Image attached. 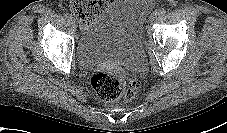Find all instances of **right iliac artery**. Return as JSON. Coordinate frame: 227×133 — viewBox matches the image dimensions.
Masks as SVG:
<instances>
[{
    "label": "right iliac artery",
    "mask_w": 227,
    "mask_h": 133,
    "mask_svg": "<svg viewBox=\"0 0 227 133\" xmlns=\"http://www.w3.org/2000/svg\"><path fill=\"white\" fill-rule=\"evenodd\" d=\"M65 17H66L67 19H69V20L72 19V15H71L70 13H66V14H65Z\"/></svg>",
    "instance_id": "right-iliac-artery-1"
}]
</instances>
